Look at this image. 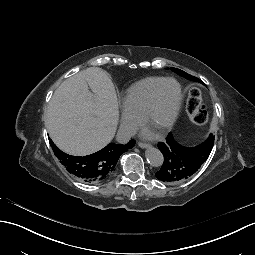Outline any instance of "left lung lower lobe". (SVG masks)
<instances>
[{
	"label": "left lung lower lobe",
	"instance_id": "1",
	"mask_svg": "<svg viewBox=\"0 0 255 255\" xmlns=\"http://www.w3.org/2000/svg\"><path fill=\"white\" fill-rule=\"evenodd\" d=\"M175 138L174 135H169L167 139L162 140L159 144V151L164 155V161L156 177L164 183H178L194 177L197 170L212 157V150L217 146L216 141L210 139L206 144L201 142L182 148V146L176 145L181 141L177 139L174 142ZM190 147H192V150H190Z\"/></svg>",
	"mask_w": 255,
	"mask_h": 255
}]
</instances>
